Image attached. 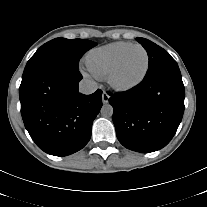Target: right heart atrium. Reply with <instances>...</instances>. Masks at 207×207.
Returning <instances> with one entry per match:
<instances>
[{
  "label": "right heart atrium",
  "mask_w": 207,
  "mask_h": 207,
  "mask_svg": "<svg viewBox=\"0 0 207 207\" xmlns=\"http://www.w3.org/2000/svg\"><path fill=\"white\" fill-rule=\"evenodd\" d=\"M89 74L94 77L97 78L95 76V74L93 73V71L91 70V68L89 67L88 63H86V73H85V77H89Z\"/></svg>",
  "instance_id": "obj_1"
}]
</instances>
